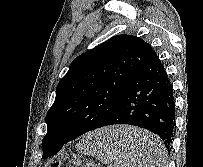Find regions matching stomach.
I'll return each instance as SVG.
<instances>
[{"label": "stomach", "instance_id": "stomach-1", "mask_svg": "<svg viewBox=\"0 0 203 167\" xmlns=\"http://www.w3.org/2000/svg\"><path fill=\"white\" fill-rule=\"evenodd\" d=\"M112 128V127H111ZM110 128H107V129H104V130H102V131H100V132H102V133H104V134H108V130H109ZM114 153H116L117 155H125V151L124 150H122V149H114Z\"/></svg>", "mask_w": 203, "mask_h": 167}]
</instances>
